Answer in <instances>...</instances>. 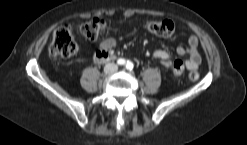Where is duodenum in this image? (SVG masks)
Returning <instances> with one entry per match:
<instances>
[{"instance_id": "410a0bca", "label": "duodenum", "mask_w": 247, "mask_h": 145, "mask_svg": "<svg viewBox=\"0 0 247 145\" xmlns=\"http://www.w3.org/2000/svg\"><path fill=\"white\" fill-rule=\"evenodd\" d=\"M95 60L99 63H104L108 61H112L116 58V56L110 52L107 51H100L97 52L94 56Z\"/></svg>"}]
</instances>
